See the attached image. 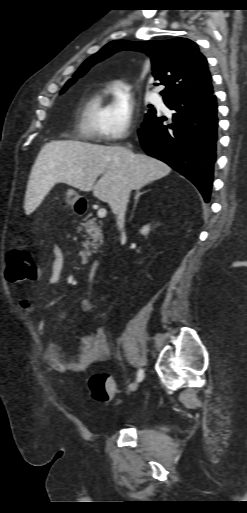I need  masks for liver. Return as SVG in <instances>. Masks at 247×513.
I'll use <instances>...</instances> for the list:
<instances>
[{
    "instance_id": "obj_1",
    "label": "liver",
    "mask_w": 247,
    "mask_h": 513,
    "mask_svg": "<svg viewBox=\"0 0 247 513\" xmlns=\"http://www.w3.org/2000/svg\"><path fill=\"white\" fill-rule=\"evenodd\" d=\"M171 172L164 162L134 154L122 146H102L74 140L45 144L33 165L24 209L35 210L56 183H65L93 195L110 206L120 188L141 189ZM98 176L100 179L96 182ZM96 182V183H95Z\"/></svg>"
}]
</instances>
